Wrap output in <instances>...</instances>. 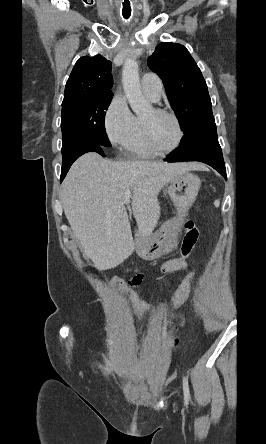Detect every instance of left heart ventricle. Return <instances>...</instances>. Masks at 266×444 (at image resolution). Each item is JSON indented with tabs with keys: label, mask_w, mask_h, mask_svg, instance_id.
I'll return each mask as SVG.
<instances>
[{
	"label": "left heart ventricle",
	"mask_w": 266,
	"mask_h": 444,
	"mask_svg": "<svg viewBox=\"0 0 266 444\" xmlns=\"http://www.w3.org/2000/svg\"><path fill=\"white\" fill-rule=\"evenodd\" d=\"M142 119L148 123L151 136L159 148L168 150L175 145L178 138V130L170 116L156 114L151 109Z\"/></svg>",
	"instance_id": "obj_1"
}]
</instances>
